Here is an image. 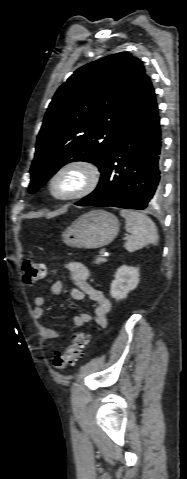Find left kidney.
Segmentation results:
<instances>
[{"label":"left kidney","mask_w":187,"mask_h":479,"mask_svg":"<svg viewBox=\"0 0 187 479\" xmlns=\"http://www.w3.org/2000/svg\"><path fill=\"white\" fill-rule=\"evenodd\" d=\"M139 269L123 265L115 273V279L111 283L110 294L116 300H122L134 290L139 283Z\"/></svg>","instance_id":"obj_1"}]
</instances>
